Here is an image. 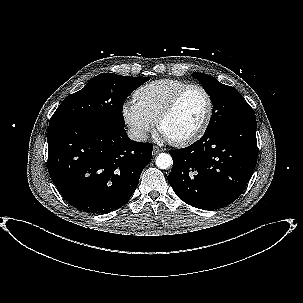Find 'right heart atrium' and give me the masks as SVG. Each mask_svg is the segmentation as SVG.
<instances>
[{"label":"right heart atrium","mask_w":303,"mask_h":303,"mask_svg":"<svg viewBox=\"0 0 303 303\" xmlns=\"http://www.w3.org/2000/svg\"><path fill=\"white\" fill-rule=\"evenodd\" d=\"M122 117L133 137L138 140H144L155 126V121L134 100H128L123 104Z\"/></svg>","instance_id":"d8ad5b80"}]
</instances>
